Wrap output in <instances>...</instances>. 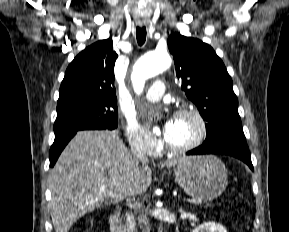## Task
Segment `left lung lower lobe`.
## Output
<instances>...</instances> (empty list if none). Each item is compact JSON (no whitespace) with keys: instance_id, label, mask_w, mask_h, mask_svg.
Masks as SVG:
<instances>
[{"instance_id":"obj_1","label":"left lung lower lobe","mask_w":289,"mask_h":232,"mask_svg":"<svg viewBox=\"0 0 289 232\" xmlns=\"http://www.w3.org/2000/svg\"><path fill=\"white\" fill-rule=\"evenodd\" d=\"M187 155L202 154H225L236 157L245 162L251 170L253 165L251 162L250 152L245 139H228L215 142L212 144L201 145L186 153Z\"/></svg>"}]
</instances>
